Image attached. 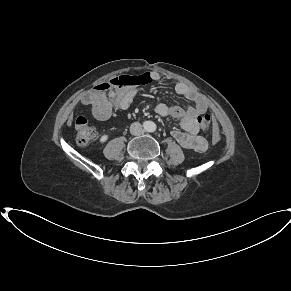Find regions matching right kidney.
I'll use <instances>...</instances> for the list:
<instances>
[{
    "label": "right kidney",
    "mask_w": 291,
    "mask_h": 291,
    "mask_svg": "<svg viewBox=\"0 0 291 291\" xmlns=\"http://www.w3.org/2000/svg\"><path fill=\"white\" fill-rule=\"evenodd\" d=\"M107 139H108V135H103V136L100 138V142H101V143H104V142L107 141Z\"/></svg>",
    "instance_id": "right-kidney-1"
}]
</instances>
